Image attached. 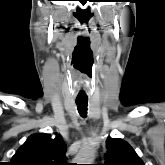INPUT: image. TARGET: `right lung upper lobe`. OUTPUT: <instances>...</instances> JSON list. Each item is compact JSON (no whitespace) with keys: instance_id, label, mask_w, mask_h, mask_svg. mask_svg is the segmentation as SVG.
I'll use <instances>...</instances> for the list:
<instances>
[{"instance_id":"obj_1","label":"right lung upper lobe","mask_w":165,"mask_h":165,"mask_svg":"<svg viewBox=\"0 0 165 165\" xmlns=\"http://www.w3.org/2000/svg\"><path fill=\"white\" fill-rule=\"evenodd\" d=\"M66 144L60 135L36 133L12 157L11 165H69L66 161Z\"/></svg>"}]
</instances>
